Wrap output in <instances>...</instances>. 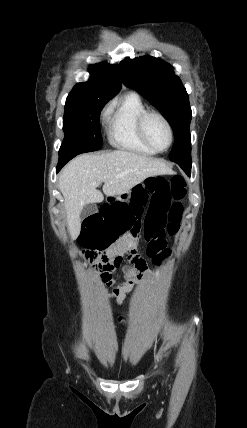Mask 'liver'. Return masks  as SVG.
Wrapping results in <instances>:
<instances>
[{
	"label": "liver",
	"mask_w": 247,
	"mask_h": 428,
	"mask_svg": "<svg viewBox=\"0 0 247 428\" xmlns=\"http://www.w3.org/2000/svg\"><path fill=\"white\" fill-rule=\"evenodd\" d=\"M171 173L165 162L126 150L76 157L63 169L58 182L70 235L75 238L80 232L83 207L103 201L97 190L102 182L103 193L115 196L129 192L148 177Z\"/></svg>",
	"instance_id": "6515ba94"
}]
</instances>
